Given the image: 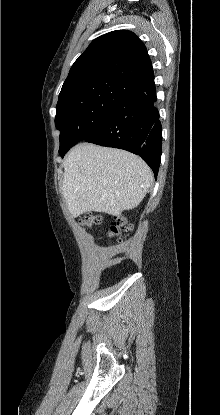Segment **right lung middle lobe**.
Segmentation results:
<instances>
[{
    "label": "right lung middle lobe",
    "instance_id": "right-lung-middle-lobe-1",
    "mask_svg": "<svg viewBox=\"0 0 220 415\" xmlns=\"http://www.w3.org/2000/svg\"><path fill=\"white\" fill-rule=\"evenodd\" d=\"M137 88L118 78H98L62 90L55 117L59 150L71 148L96 132L109 112Z\"/></svg>",
    "mask_w": 220,
    "mask_h": 415
}]
</instances>
